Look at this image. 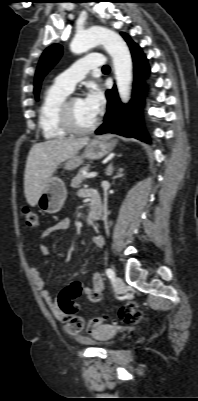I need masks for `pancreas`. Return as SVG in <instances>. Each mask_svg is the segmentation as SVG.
<instances>
[{
    "instance_id": "obj_1",
    "label": "pancreas",
    "mask_w": 198,
    "mask_h": 401,
    "mask_svg": "<svg viewBox=\"0 0 198 401\" xmlns=\"http://www.w3.org/2000/svg\"><path fill=\"white\" fill-rule=\"evenodd\" d=\"M87 170H88L87 167H83L78 171L77 175L71 180L70 186L72 188H79L81 186V184L86 179V175L84 174V172Z\"/></svg>"
}]
</instances>
